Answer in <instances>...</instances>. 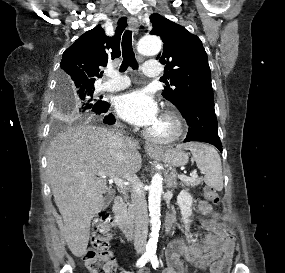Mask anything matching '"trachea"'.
Wrapping results in <instances>:
<instances>
[{"mask_svg": "<svg viewBox=\"0 0 285 273\" xmlns=\"http://www.w3.org/2000/svg\"><path fill=\"white\" fill-rule=\"evenodd\" d=\"M122 57L120 72H124L130 66L133 70H138V63L132 47V31L126 30L122 37Z\"/></svg>", "mask_w": 285, "mask_h": 273, "instance_id": "obj_1", "label": "trachea"}]
</instances>
